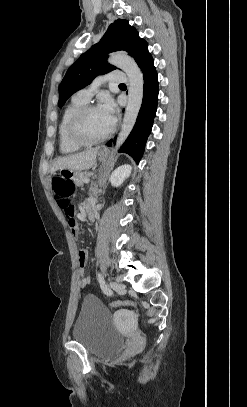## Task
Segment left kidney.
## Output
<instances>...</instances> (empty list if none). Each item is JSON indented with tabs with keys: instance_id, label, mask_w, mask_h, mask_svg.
<instances>
[{
	"instance_id": "5707ae66",
	"label": "left kidney",
	"mask_w": 247,
	"mask_h": 407,
	"mask_svg": "<svg viewBox=\"0 0 247 407\" xmlns=\"http://www.w3.org/2000/svg\"><path fill=\"white\" fill-rule=\"evenodd\" d=\"M132 167L128 164L118 167L111 175L110 182L112 186H120L125 178H127L131 173Z\"/></svg>"
}]
</instances>
